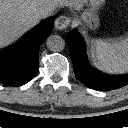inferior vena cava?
Here are the masks:
<instances>
[{
    "mask_svg": "<svg viewBox=\"0 0 128 128\" xmlns=\"http://www.w3.org/2000/svg\"><path fill=\"white\" fill-rule=\"evenodd\" d=\"M52 13V8L48 5H43L40 6L37 10H36V16L38 18H45L49 15H51Z\"/></svg>",
    "mask_w": 128,
    "mask_h": 128,
    "instance_id": "1",
    "label": "inferior vena cava"
}]
</instances>
